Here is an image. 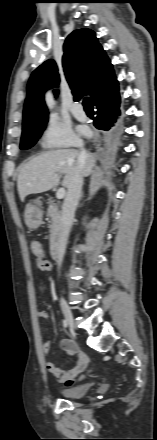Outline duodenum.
I'll use <instances>...</instances> for the list:
<instances>
[{"label":"duodenum","mask_w":157,"mask_h":440,"mask_svg":"<svg viewBox=\"0 0 157 440\" xmlns=\"http://www.w3.org/2000/svg\"><path fill=\"white\" fill-rule=\"evenodd\" d=\"M50 253L54 260H58L60 258V249L58 243L53 240L50 246Z\"/></svg>","instance_id":"410a0bca"}]
</instances>
